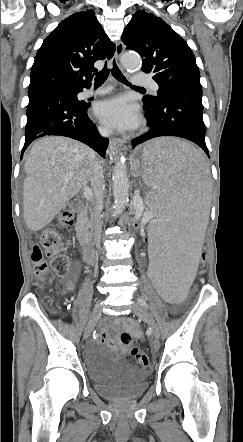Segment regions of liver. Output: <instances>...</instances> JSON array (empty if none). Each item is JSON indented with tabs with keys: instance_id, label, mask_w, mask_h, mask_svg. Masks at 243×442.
Masks as SVG:
<instances>
[{
	"instance_id": "6515ba94",
	"label": "liver",
	"mask_w": 243,
	"mask_h": 442,
	"mask_svg": "<svg viewBox=\"0 0 243 442\" xmlns=\"http://www.w3.org/2000/svg\"><path fill=\"white\" fill-rule=\"evenodd\" d=\"M96 153L83 143L49 136L34 143L24 169L23 216L31 231L47 226L91 180ZM72 173L70 179L66 176Z\"/></svg>"
}]
</instances>
